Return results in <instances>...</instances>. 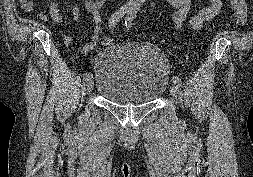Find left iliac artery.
Wrapping results in <instances>:
<instances>
[{
    "instance_id": "obj_1",
    "label": "left iliac artery",
    "mask_w": 253,
    "mask_h": 177,
    "mask_svg": "<svg viewBox=\"0 0 253 177\" xmlns=\"http://www.w3.org/2000/svg\"><path fill=\"white\" fill-rule=\"evenodd\" d=\"M138 11H139V8L135 7V8H132L128 12V15L126 16V19H125V26L127 29H129L132 26V23H133L134 19L136 18ZM173 82L176 83L177 85L182 84L181 78L176 75L173 76Z\"/></svg>"
}]
</instances>
